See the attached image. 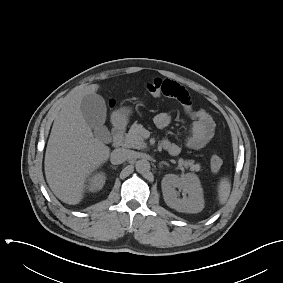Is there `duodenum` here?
<instances>
[{"instance_id": "duodenum-1", "label": "duodenum", "mask_w": 283, "mask_h": 283, "mask_svg": "<svg viewBox=\"0 0 283 283\" xmlns=\"http://www.w3.org/2000/svg\"><path fill=\"white\" fill-rule=\"evenodd\" d=\"M124 133H125L124 124L122 122H116L112 130V134H113L112 145L114 147L122 146L123 139H124Z\"/></svg>"}]
</instances>
